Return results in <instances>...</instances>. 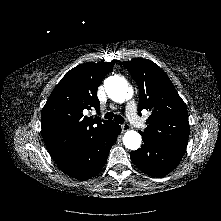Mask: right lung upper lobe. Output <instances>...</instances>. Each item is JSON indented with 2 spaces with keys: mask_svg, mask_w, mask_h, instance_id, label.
<instances>
[{
  "mask_svg": "<svg viewBox=\"0 0 221 221\" xmlns=\"http://www.w3.org/2000/svg\"><path fill=\"white\" fill-rule=\"evenodd\" d=\"M115 61L85 63L71 69L49 96L41 114L42 136L56 163L66 161L105 133L112 121L87 117L99 111L97 89Z\"/></svg>",
  "mask_w": 221,
  "mask_h": 221,
  "instance_id": "right-lung-upper-lobe-1",
  "label": "right lung upper lobe"
}]
</instances>
